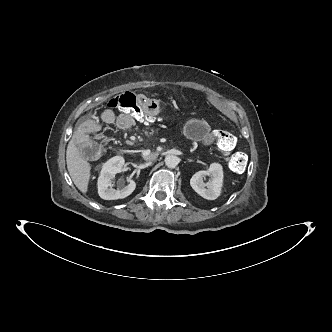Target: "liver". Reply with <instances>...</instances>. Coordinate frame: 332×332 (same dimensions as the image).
Returning <instances> with one entry per match:
<instances>
[{"instance_id": "6515ba94", "label": "liver", "mask_w": 332, "mask_h": 332, "mask_svg": "<svg viewBox=\"0 0 332 332\" xmlns=\"http://www.w3.org/2000/svg\"><path fill=\"white\" fill-rule=\"evenodd\" d=\"M67 169L76 187L86 193L90 179V164L82 157L73 139L70 140L66 151Z\"/></svg>"}]
</instances>
